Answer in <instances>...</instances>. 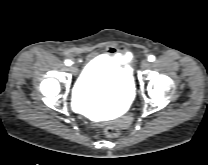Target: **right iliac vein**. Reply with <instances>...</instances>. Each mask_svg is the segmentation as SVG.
Wrapping results in <instances>:
<instances>
[{"instance_id": "obj_1", "label": "right iliac vein", "mask_w": 208, "mask_h": 165, "mask_svg": "<svg viewBox=\"0 0 208 165\" xmlns=\"http://www.w3.org/2000/svg\"><path fill=\"white\" fill-rule=\"evenodd\" d=\"M70 71L72 72L73 75H77L78 73V68L76 65H71L70 66Z\"/></svg>"}]
</instances>
